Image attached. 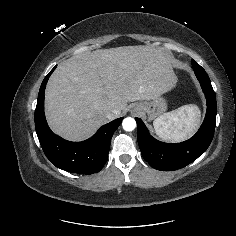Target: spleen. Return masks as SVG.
<instances>
[{
	"mask_svg": "<svg viewBox=\"0 0 236 236\" xmlns=\"http://www.w3.org/2000/svg\"><path fill=\"white\" fill-rule=\"evenodd\" d=\"M200 122V110L194 104L184 105L154 120L156 134L165 141L181 142L191 136Z\"/></svg>",
	"mask_w": 236,
	"mask_h": 236,
	"instance_id": "obj_1",
	"label": "spleen"
}]
</instances>
